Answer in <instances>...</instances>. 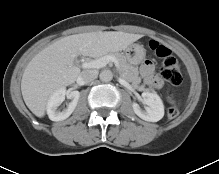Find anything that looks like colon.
Segmentation results:
<instances>
[{
  "instance_id": "colon-1",
  "label": "colon",
  "mask_w": 219,
  "mask_h": 174,
  "mask_svg": "<svg viewBox=\"0 0 219 174\" xmlns=\"http://www.w3.org/2000/svg\"><path fill=\"white\" fill-rule=\"evenodd\" d=\"M149 48L161 61L159 70L162 78L171 86H179L183 81V77L180 64L172 52L167 47L155 41L150 42ZM178 114L179 109L176 106H170L167 109V117L169 119H174Z\"/></svg>"
}]
</instances>
